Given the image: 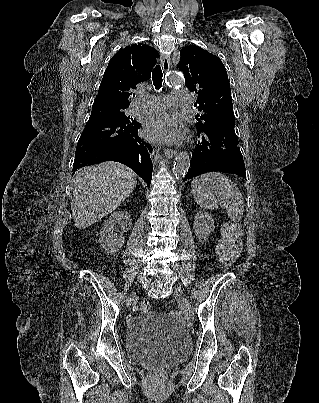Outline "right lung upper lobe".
I'll return each instance as SVG.
<instances>
[{
	"instance_id": "right-lung-upper-lobe-1",
	"label": "right lung upper lobe",
	"mask_w": 319,
	"mask_h": 403,
	"mask_svg": "<svg viewBox=\"0 0 319 403\" xmlns=\"http://www.w3.org/2000/svg\"><path fill=\"white\" fill-rule=\"evenodd\" d=\"M158 57L147 45L133 44L119 50L109 61L94 104L129 107L132 91L150 78Z\"/></svg>"
}]
</instances>
